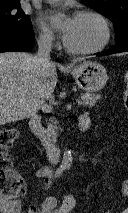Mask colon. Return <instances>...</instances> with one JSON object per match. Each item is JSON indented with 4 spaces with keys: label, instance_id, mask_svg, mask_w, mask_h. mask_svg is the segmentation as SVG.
<instances>
[{
    "label": "colon",
    "instance_id": "obj_1",
    "mask_svg": "<svg viewBox=\"0 0 128 213\" xmlns=\"http://www.w3.org/2000/svg\"><path fill=\"white\" fill-rule=\"evenodd\" d=\"M125 83L124 104L128 110V70L123 75ZM19 132L16 128H4L0 130V199L14 200L24 192V182L15 170L10 154V148L17 139ZM123 192L128 196V179L124 181ZM75 206V198L67 194L60 207L59 213H70Z\"/></svg>",
    "mask_w": 128,
    "mask_h": 213
}]
</instances>
